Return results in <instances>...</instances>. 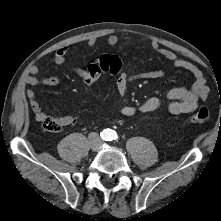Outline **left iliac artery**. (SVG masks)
Instances as JSON below:
<instances>
[{
	"mask_svg": "<svg viewBox=\"0 0 221 221\" xmlns=\"http://www.w3.org/2000/svg\"><path fill=\"white\" fill-rule=\"evenodd\" d=\"M111 134H112V136L109 139L110 141L118 139L116 132L113 131V133H111Z\"/></svg>",
	"mask_w": 221,
	"mask_h": 221,
	"instance_id": "obj_1",
	"label": "left iliac artery"
}]
</instances>
